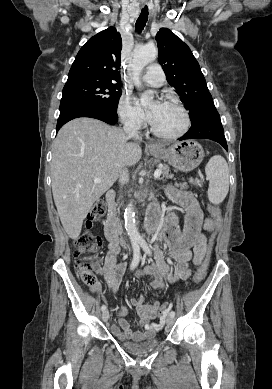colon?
<instances>
[{
    "label": "colon",
    "instance_id": "1",
    "mask_svg": "<svg viewBox=\"0 0 272 389\" xmlns=\"http://www.w3.org/2000/svg\"><path fill=\"white\" fill-rule=\"evenodd\" d=\"M106 212V203L102 200L97 201L89 211L85 230L75 240L76 271L81 280L88 286H94L97 283L94 273V265L98 264V255L102 250V240L99 236L90 231L93 223L104 216ZM214 227H218L221 221V211L216 206H210ZM213 242V236L209 240V249ZM209 251L199 270L194 277V284H199L206 276L208 269ZM171 305L163 303L159 309V314L164 316L169 311Z\"/></svg>",
    "mask_w": 272,
    "mask_h": 389
}]
</instances>
